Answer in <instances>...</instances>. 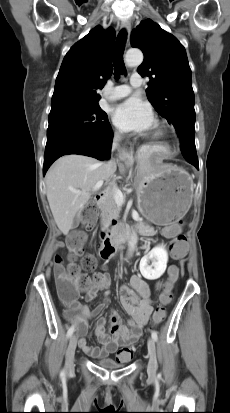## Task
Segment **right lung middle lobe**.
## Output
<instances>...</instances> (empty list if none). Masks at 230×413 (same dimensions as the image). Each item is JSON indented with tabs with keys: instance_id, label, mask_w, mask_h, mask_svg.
<instances>
[{
	"instance_id": "obj_1",
	"label": "right lung middle lobe",
	"mask_w": 230,
	"mask_h": 413,
	"mask_svg": "<svg viewBox=\"0 0 230 413\" xmlns=\"http://www.w3.org/2000/svg\"><path fill=\"white\" fill-rule=\"evenodd\" d=\"M110 128L107 114L96 106H67L49 114L47 143L65 136H96Z\"/></svg>"
}]
</instances>
